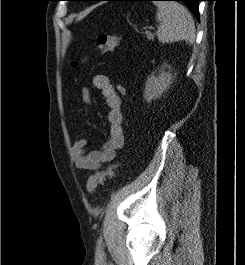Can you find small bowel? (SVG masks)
I'll return each instance as SVG.
<instances>
[{"mask_svg":"<svg viewBox=\"0 0 245 265\" xmlns=\"http://www.w3.org/2000/svg\"><path fill=\"white\" fill-rule=\"evenodd\" d=\"M92 83L94 87L100 90L109 108L107 114L108 140L100 150L87 151V140L79 138L72 146L71 155L76 168L95 171L116 157L117 152L124 146V134L121 98L113 83L107 76L101 74L94 75ZM81 99L86 104L93 103V97L88 88L81 89Z\"/></svg>","mask_w":245,"mask_h":265,"instance_id":"1","label":"small bowel"}]
</instances>
